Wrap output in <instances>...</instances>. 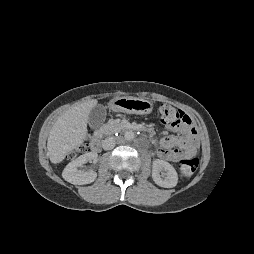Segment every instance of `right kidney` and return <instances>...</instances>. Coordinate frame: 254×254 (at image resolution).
Returning a JSON list of instances; mask_svg holds the SVG:
<instances>
[{
    "label": "right kidney",
    "mask_w": 254,
    "mask_h": 254,
    "mask_svg": "<svg viewBox=\"0 0 254 254\" xmlns=\"http://www.w3.org/2000/svg\"><path fill=\"white\" fill-rule=\"evenodd\" d=\"M98 155L93 152L85 153L77 159L70 162L63 170L62 177L69 183L74 185H83L92 183L97 173L93 170H82L87 162H96Z\"/></svg>",
    "instance_id": "ca27d5eb"
}]
</instances>
